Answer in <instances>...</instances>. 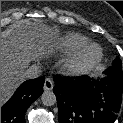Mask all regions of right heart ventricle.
<instances>
[{
	"mask_svg": "<svg viewBox=\"0 0 123 123\" xmlns=\"http://www.w3.org/2000/svg\"><path fill=\"white\" fill-rule=\"evenodd\" d=\"M86 42L87 39L84 36L79 34H67L58 40L56 49L60 54L67 55L80 49Z\"/></svg>",
	"mask_w": 123,
	"mask_h": 123,
	"instance_id": "1",
	"label": "right heart ventricle"
}]
</instances>
